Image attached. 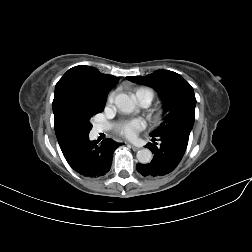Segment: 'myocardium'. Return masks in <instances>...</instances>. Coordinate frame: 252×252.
<instances>
[{
    "label": "myocardium",
    "instance_id": "f54148a6",
    "mask_svg": "<svg viewBox=\"0 0 252 252\" xmlns=\"http://www.w3.org/2000/svg\"><path fill=\"white\" fill-rule=\"evenodd\" d=\"M165 116V110L163 107L158 106L151 110V119L154 123H160Z\"/></svg>",
    "mask_w": 252,
    "mask_h": 252
}]
</instances>
